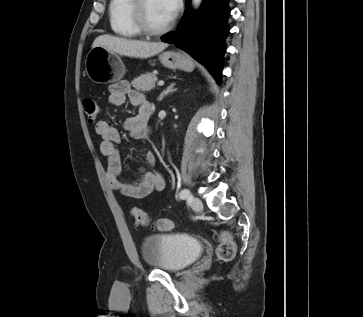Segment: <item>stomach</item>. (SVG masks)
Instances as JSON below:
<instances>
[{
	"instance_id": "stomach-1",
	"label": "stomach",
	"mask_w": 363,
	"mask_h": 317,
	"mask_svg": "<svg viewBox=\"0 0 363 317\" xmlns=\"http://www.w3.org/2000/svg\"><path fill=\"white\" fill-rule=\"evenodd\" d=\"M162 65L168 69L191 72L194 64L189 56L168 51L159 56ZM85 70L91 81L97 84L117 82L125 74V66L120 57L104 47L92 48L85 60Z\"/></svg>"
}]
</instances>
